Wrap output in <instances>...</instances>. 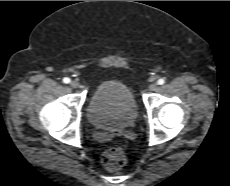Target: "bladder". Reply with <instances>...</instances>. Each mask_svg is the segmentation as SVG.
<instances>
[{
    "label": "bladder",
    "mask_w": 230,
    "mask_h": 186,
    "mask_svg": "<svg viewBox=\"0 0 230 186\" xmlns=\"http://www.w3.org/2000/svg\"><path fill=\"white\" fill-rule=\"evenodd\" d=\"M87 116L96 128L119 131L130 127L137 118V106L130 89L117 80H106L94 89Z\"/></svg>",
    "instance_id": "bladder-1"
}]
</instances>
